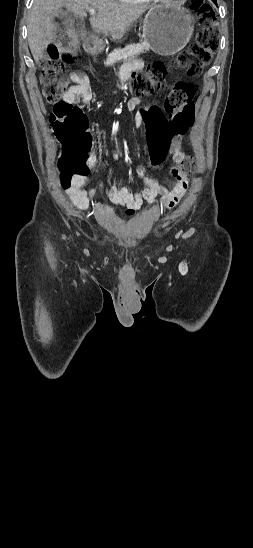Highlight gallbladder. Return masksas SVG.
<instances>
[{
	"label": "gallbladder",
	"mask_w": 253,
	"mask_h": 548,
	"mask_svg": "<svg viewBox=\"0 0 253 548\" xmlns=\"http://www.w3.org/2000/svg\"><path fill=\"white\" fill-rule=\"evenodd\" d=\"M68 15V12L67 11H64V10H59L57 13H56V16L57 17H64V16H67Z\"/></svg>",
	"instance_id": "gallbladder-1"
}]
</instances>
